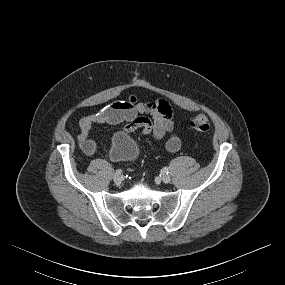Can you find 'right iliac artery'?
<instances>
[{
  "label": "right iliac artery",
  "instance_id": "right-iliac-artery-1",
  "mask_svg": "<svg viewBox=\"0 0 285 285\" xmlns=\"http://www.w3.org/2000/svg\"><path fill=\"white\" fill-rule=\"evenodd\" d=\"M121 173H122V170H121V169L116 170V174H117V175H120Z\"/></svg>",
  "mask_w": 285,
  "mask_h": 285
}]
</instances>
